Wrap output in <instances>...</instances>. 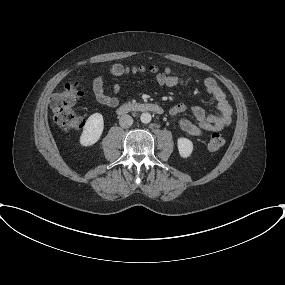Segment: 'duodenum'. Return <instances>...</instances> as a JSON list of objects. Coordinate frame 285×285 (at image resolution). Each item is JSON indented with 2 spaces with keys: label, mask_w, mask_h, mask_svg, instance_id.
<instances>
[{
  "label": "duodenum",
  "mask_w": 285,
  "mask_h": 285,
  "mask_svg": "<svg viewBox=\"0 0 285 285\" xmlns=\"http://www.w3.org/2000/svg\"><path fill=\"white\" fill-rule=\"evenodd\" d=\"M129 112H150L155 114H162L163 108L156 103L139 102L124 104L118 108L119 114H126Z\"/></svg>",
  "instance_id": "obj_1"
}]
</instances>
